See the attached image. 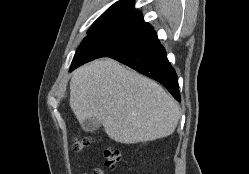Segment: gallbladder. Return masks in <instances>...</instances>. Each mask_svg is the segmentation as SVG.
Segmentation results:
<instances>
[{
	"mask_svg": "<svg viewBox=\"0 0 249 174\" xmlns=\"http://www.w3.org/2000/svg\"><path fill=\"white\" fill-rule=\"evenodd\" d=\"M80 124L82 129L86 132H94L101 126V122L95 117L87 118Z\"/></svg>",
	"mask_w": 249,
	"mask_h": 174,
	"instance_id": "1",
	"label": "gallbladder"
}]
</instances>
